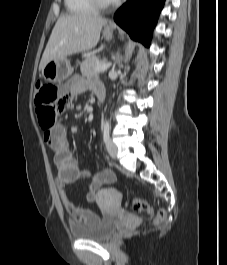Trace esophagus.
Returning a JSON list of instances; mask_svg holds the SVG:
<instances>
[{
	"label": "esophagus",
	"mask_w": 227,
	"mask_h": 265,
	"mask_svg": "<svg viewBox=\"0 0 227 265\" xmlns=\"http://www.w3.org/2000/svg\"><path fill=\"white\" fill-rule=\"evenodd\" d=\"M108 27H109L110 29L115 28V23H114L113 21L110 22L109 25H108Z\"/></svg>",
	"instance_id": "esophagus-1"
}]
</instances>
